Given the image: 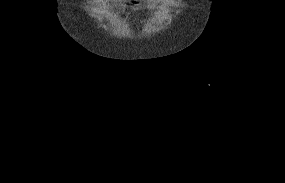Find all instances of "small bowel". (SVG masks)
I'll use <instances>...</instances> for the list:
<instances>
[{
  "mask_svg": "<svg viewBox=\"0 0 285 183\" xmlns=\"http://www.w3.org/2000/svg\"><path fill=\"white\" fill-rule=\"evenodd\" d=\"M145 1L150 2V1H152V0H145Z\"/></svg>",
  "mask_w": 285,
  "mask_h": 183,
  "instance_id": "1",
  "label": "small bowel"
}]
</instances>
